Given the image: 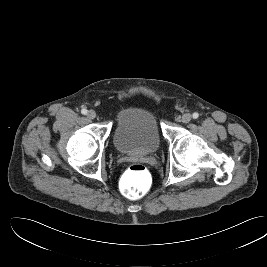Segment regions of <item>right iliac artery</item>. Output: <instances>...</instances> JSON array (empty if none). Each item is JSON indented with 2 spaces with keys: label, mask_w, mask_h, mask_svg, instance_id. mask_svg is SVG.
<instances>
[{
  "label": "right iliac artery",
  "mask_w": 267,
  "mask_h": 267,
  "mask_svg": "<svg viewBox=\"0 0 267 267\" xmlns=\"http://www.w3.org/2000/svg\"><path fill=\"white\" fill-rule=\"evenodd\" d=\"M81 113H82L83 115H86V114H87V109L83 108V109L81 110Z\"/></svg>",
  "instance_id": "right-iliac-artery-1"
}]
</instances>
